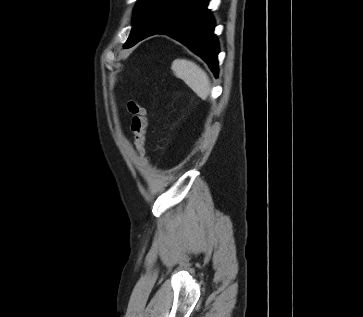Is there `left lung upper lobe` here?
Returning a JSON list of instances; mask_svg holds the SVG:
<instances>
[{
    "mask_svg": "<svg viewBox=\"0 0 363 317\" xmlns=\"http://www.w3.org/2000/svg\"><path fill=\"white\" fill-rule=\"evenodd\" d=\"M158 0H140L134 10L133 27L124 46L132 47L143 35Z\"/></svg>",
    "mask_w": 363,
    "mask_h": 317,
    "instance_id": "obj_1",
    "label": "left lung upper lobe"
}]
</instances>
